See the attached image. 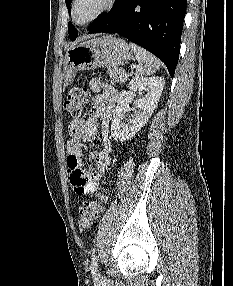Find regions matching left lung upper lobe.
Returning a JSON list of instances; mask_svg holds the SVG:
<instances>
[{
    "mask_svg": "<svg viewBox=\"0 0 233 286\" xmlns=\"http://www.w3.org/2000/svg\"><path fill=\"white\" fill-rule=\"evenodd\" d=\"M65 2L68 8V11L70 12L71 11L70 5H71L72 0H65ZM68 33H69V37L71 40H75L76 37L78 36V31L71 22H69L68 24Z\"/></svg>",
    "mask_w": 233,
    "mask_h": 286,
    "instance_id": "1",
    "label": "left lung upper lobe"
}]
</instances>
